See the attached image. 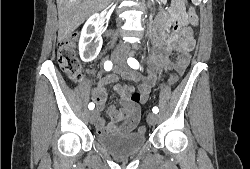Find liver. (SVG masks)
Returning a JSON list of instances; mask_svg holds the SVG:
<instances>
[{
  "mask_svg": "<svg viewBox=\"0 0 250 169\" xmlns=\"http://www.w3.org/2000/svg\"><path fill=\"white\" fill-rule=\"evenodd\" d=\"M110 2L111 0H57L59 40L71 36L73 30L82 24L89 14L106 8Z\"/></svg>",
  "mask_w": 250,
  "mask_h": 169,
  "instance_id": "obj_1",
  "label": "liver"
}]
</instances>
